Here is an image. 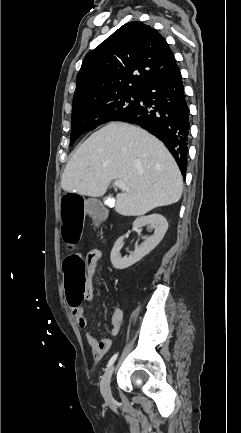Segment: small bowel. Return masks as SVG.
I'll return each mask as SVG.
<instances>
[{
    "mask_svg": "<svg viewBox=\"0 0 241 433\" xmlns=\"http://www.w3.org/2000/svg\"><path fill=\"white\" fill-rule=\"evenodd\" d=\"M102 256V253L98 249H93L86 254V263L85 269L87 274V293L86 298L88 300H92L93 298V286H92V277L96 270L97 264ZM70 311L75 319L78 327L80 329L87 330L88 328V319L84 314V310L79 305H70ZM123 322V311L120 306L115 305L111 323H112V335L117 336L122 328ZM86 338L88 343L91 346L92 354L95 360H101L104 358L106 353L110 350L112 345V340L109 338H104L101 340H97L89 331H86Z\"/></svg>",
    "mask_w": 241,
    "mask_h": 433,
    "instance_id": "obj_1",
    "label": "small bowel"
}]
</instances>
